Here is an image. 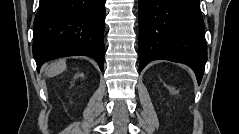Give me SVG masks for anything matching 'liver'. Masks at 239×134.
Segmentation results:
<instances>
[{
  "instance_id": "1",
  "label": "liver",
  "mask_w": 239,
  "mask_h": 134,
  "mask_svg": "<svg viewBox=\"0 0 239 134\" xmlns=\"http://www.w3.org/2000/svg\"><path fill=\"white\" fill-rule=\"evenodd\" d=\"M66 70V61L64 59L52 63L50 66L45 67V74L48 77H54Z\"/></svg>"
}]
</instances>
